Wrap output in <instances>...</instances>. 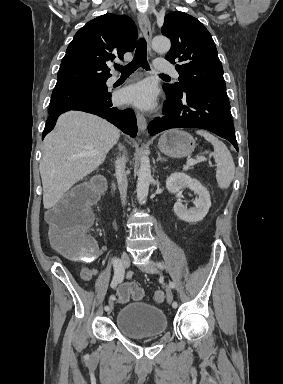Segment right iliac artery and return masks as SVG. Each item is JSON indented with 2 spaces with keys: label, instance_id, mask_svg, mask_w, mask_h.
Masks as SVG:
<instances>
[{
  "label": "right iliac artery",
  "instance_id": "82829eb1",
  "mask_svg": "<svg viewBox=\"0 0 283 384\" xmlns=\"http://www.w3.org/2000/svg\"><path fill=\"white\" fill-rule=\"evenodd\" d=\"M114 276L112 282L110 284L111 288H115L124 278L125 270L119 259L114 260ZM109 306H105V310L107 311Z\"/></svg>",
  "mask_w": 283,
  "mask_h": 384
}]
</instances>
